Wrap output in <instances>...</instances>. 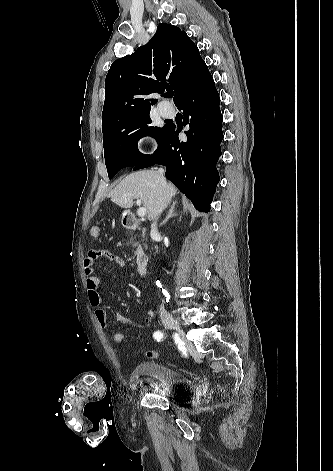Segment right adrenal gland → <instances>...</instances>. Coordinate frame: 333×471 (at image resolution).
<instances>
[{
	"instance_id": "right-adrenal-gland-1",
	"label": "right adrenal gland",
	"mask_w": 333,
	"mask_h": 471,
	"mask_svg": "<svg viewBox=\"0 0 333 471\" xmlns=\"http://www.w3.org/2000/svg\"><path fill=\"white\" fill-rule=\"evenodd\" d=\"M177 204V201H174L171 205V208L166 216V218L164 219V221L162 222V224H165L170 218L174 217V216H177V213L174 212V209H175V206Z\"/></svg>"
}]
</instances>
